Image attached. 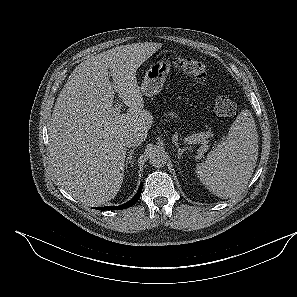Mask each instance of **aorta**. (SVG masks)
I'll list each match as a JSON object with an SVG mask.
<instances>
[{"mask_svg":"<svg viewBox=\"0 0 297 297\" xmlns=\"http://www.w3.org/2000/svg\"><path fill=\"white\" fill-rule=\"evenodd\" d=\"M167 163V155L162 150H154L150 154V164L155 168L163 167Z\"/></svg>","mask_w":297,"mask_h":297,"instance_id":"aorta-1","label":"aorta"}]
</instances>
